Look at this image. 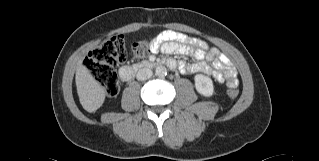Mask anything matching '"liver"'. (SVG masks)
Wrapping results in <instances>:
<instances>
[{"label": "liver", "instance_id": "obj_1", "mask_svg": "<svg viewBox=\"0 0 319 161\" xmlns=\"http://www.w3.org/2000/svg\"><path fill=\"white\" fill-rule=\"evenodd\" d=\"M75 81L82 107L90 113L95 112L104 103L106 92L82 61L76 69Z\"/></svg>", "mask_w": 319, "mask_h": 161}]
</instances>
